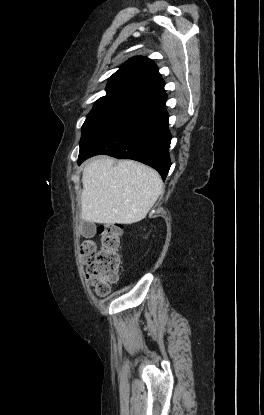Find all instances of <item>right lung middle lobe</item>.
<instances>
[{
  "instance_id": "dd1d6c3e",
  "label": "right lung middle lobe",
  "mask_w": 264,
  "mask_h": 415,
  "mask_svg": "<svg viewBox=\"0 0 264 415\" xmlns=\"http://www.w3.org/2000/svg\"><path fill=\"white\" fill-rule=\"evenodd\" d=\"M142 101L124 95H106L98 99L82 126L80 150L85 149L121 116Z\"/></svg>"
}]
</instances>
